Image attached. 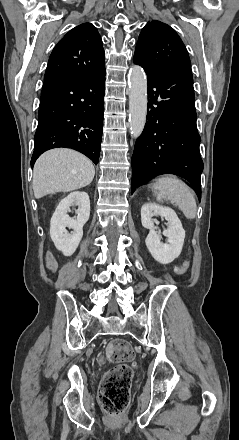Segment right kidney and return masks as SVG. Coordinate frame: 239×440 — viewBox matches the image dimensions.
Returning <instances> with one entry per match:
<instances>
[{"mask_svg": "<svg viewBox=\"0 0 239 440\" xmlns=\"http://www.w3.org/2000/svg\"><path fill=\"white\" fill-rule=\"evenodd\" d=\"M78 206L75 210L76 220L70 218L67 212ZM90 216V200L86 192H71L67 198L58 204L50 222V236L55 247L60 248L61 253H72L73 248H78L82 236L83 226L88 222ZM66 228H72L69 234Z\"/></svg>", "mask_w": 239, "mask_h": 440, "instance_id": "1", "label": "right kidney"}]
</instances>
